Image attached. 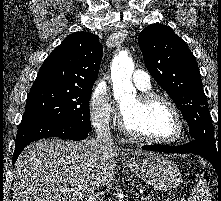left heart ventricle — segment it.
Here are the masks:
<instances>
[{"mask_svg": "<svg viewBox=\"0 0 221 201\" xmlns=\"http://www.w3.org/2000/svg\"><path fill=\"white\" fill-rule=\"evenodd\" d=\"M121 107L128 126L139 134L160 139L171 138L177 134V119L163 102L142 105L133 97Z\"/></svg>", "mask_w": 221, "mask_h": 201, "instance_id": "left-heart-ventricle-1", "label": "left heart ventricle"}]
</instances>
